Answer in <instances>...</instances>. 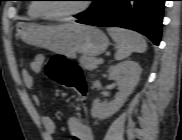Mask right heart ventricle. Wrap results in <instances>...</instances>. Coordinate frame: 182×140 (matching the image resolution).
Masks as SVG:
<instances>
[{
  "label": "right heart ventricle",
  "instance_id": "1",
  "mask_svg": "<svg viewBox=\"0 0 182 140\" xmlns=\"http://www.w3.org/2000/svg\"><path fill=\"white\" fill-rule=\"evenodd\" d=\"M36 7H37V5L34 3L29 5L28 12H29L30 16H32V17H39L40 16Z\"/></svg>",
  "mask_w": 182,
  "mask_h": 140
}]
</instances>
